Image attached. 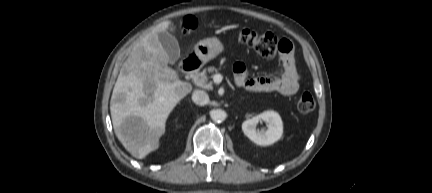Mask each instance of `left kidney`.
I'll use <instances>...</instances> for the list:
<instances>
[{
	"label": "left kidney",
	"instance_id": "1",
	"mask_svg": "<svg viewBox=\"0 0 432 193\" xmlns=\"http://www.w3.org/2000/svg\"><path fill=\"white\" fill-rule=\"evenodd\" d=\"M259 120L267 123V130L257 131ZM243 133L254 143L267 146L278 141L283 134V123L280 115L275 111H264L242 123Z\"/></svg>",
	"mask_w": 432,
	"mask_h": 193
}]
</instances>
